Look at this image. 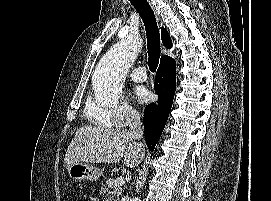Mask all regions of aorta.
<instances>
[{"instance_id":"obj_1","label":"aorta","mask_w":271,"mask_h":201,"mask_svg":"<svg viewBox=\"0 0 271 201\" xmlns=\"http://www.w3.org/2000/svg\"><path fill=\"white\" fill-rule=\"evenodd\" d=\"M142 47V40L129 35L116 43L103 56L95 69L93 88L95 96L107 104H114L122 96L124 77ZM131 201H141L134 197Z\"/></svg>"}]
</instances>
